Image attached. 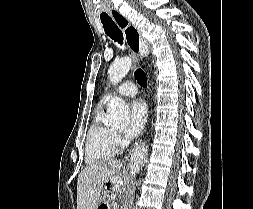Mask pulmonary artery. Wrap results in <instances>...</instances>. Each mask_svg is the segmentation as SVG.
<instances>
[{
	"mask_svg": "<svg viewBox=\"0 0 253 209\" xmlns=\"http://www.w3.org/2000/svg\"><path fill=\"white\" fill-rule=\"evenodd\" d=\"M114 93L122 95V96H134L137 93V89L134 83L132 82H124L122 83ZM111 93L105 94L102 98L103 102H106L110 99Z\"/></svg>",
	"mask_w": 253,
	"mask_h": 209,
	"instance_id": "e3ab8cb5",
	"label": "pulmonary artery"
}]
</instances>
